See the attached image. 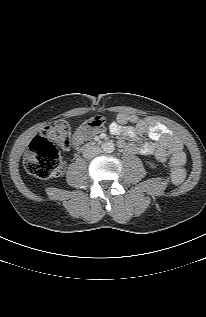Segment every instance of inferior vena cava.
Wrapping results in <instances>:
<instances>
[{
  "label": "inferior vena cava",
  "mask_w": 206,
  "mask_h": 317,
  "mask_svg": "<svg viewBox=\"0 0 206 317\" xmlns=\"http://www.w3.org/2000/svg\"><path fill=\"white\" fill-rule=\"evenodd\" d=\"M101 148L98 146H87L83 150V157L84 158H93L100 154Z\"/></svg>",
  "instance_id": "602c4592"
}]
</instances>
